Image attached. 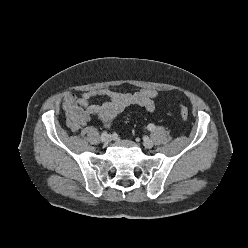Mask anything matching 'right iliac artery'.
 <instances>
[{
	"mask_svg": "<svg viewBox=\"0 0 248 248\" xmlns=\"http://www.w3.org/2000/svg\"><path fill=\"white\" fill-rule=\"evenodd\" d=\"M107 135H108L107 132L104 131V132L101 134V140H103Z\"/></svg>",
	"mask_w": 248,
	"mask_h": 248,
	"instance_id": "obj_1",
	"label": "right iliac artery"
}]
</instances>
